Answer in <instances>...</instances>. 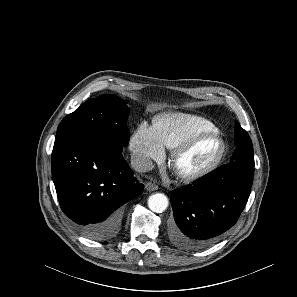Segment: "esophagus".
<instances>
[{
    "instance_id": "34e87169",
    "label": "esophagus",
    "mask_w": 297,
    "mask_h": 297,
    "mask_svg": "<svg viewBox=\"0 0 297 297\" xmlns=\"http://www.w3.org/2000/svg\"><path fill=\"white\" fill-rule=\"evenodd\" d=\"M145 189H146L147 191H155V190L158 189V185H156V184L153 183V182H147V183L145 184Z\"/></svg>"
}]
</instances>
